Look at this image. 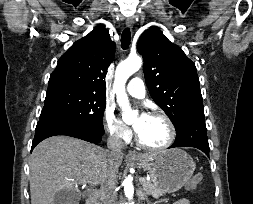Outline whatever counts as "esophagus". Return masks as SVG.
Here are the masks:
<instances>
[{
	"mask_svg": "<svg viewBox=\"0 0 253 204\" xmlns=\"http://www.w3.org/2000/svg\"><path fill=\"white\" fill-rule=\"evenodd\" d=\"M133 25H134V19L132 17L128 18L126 20V26L131 28V27H133ZM128 157H130V158H140V155L137 154L136 152L130 150L128 152Z\"/></svg>",
	"mask_w": 253,
	"mask_h": 204,
	"instance_id": "esophagus-1",
	"label": "esophagus"
}]
</instances>
